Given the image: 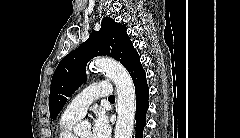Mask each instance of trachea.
<instances>
[{
	"label": "trachea",
	"mask_w": 240,
	"mask_h": 138,
	"mask_svg": "<svg viewBox=\"0 0 240 138\" xmlns=\"http://www.w3.org/2000/svg\"><path fill=\"white\" fill-rule=\"evenodd\" d=\"M108 99H109L110 101H111V100H115V97H114V95H111Z\"/></svg>",
	"instance_id": "1"
}]
</instances>
